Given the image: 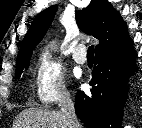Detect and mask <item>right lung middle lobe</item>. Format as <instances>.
Returning <instances> with one entry per match:
<instances>
[{
    "mask_svg": "<svg viewBox=\"0 0 142 128\" xmlns=\"http://www.w3.org/2000/svg\"><path fill=\"white\" fill-rule=\"evenodd\" d=\"M29 66V60H26V61H22L20 63H17V70H16V73H15V76L17 79L20 78L22 72H23V69L24 68H28Z\"/></svg>",
    "mask_w": 142,
    "mask_h": 128,
    "instance_id": "right-lung-middle-lobe-1",
    "label": "right lung middle lobe"
}]
</instances>
